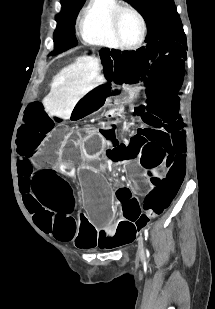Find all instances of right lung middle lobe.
Segmentation results:
<instances>
[{
    "label": "right lung middle lobe",
    "instance_id": "right-lung-middle-lobe-1",
    "mask_svg": "<svg viewBox=\"0 0 215 309\" xmlns=\"http://www.w3.org/2000/svg\"><path fill=\"white\" fill-rule=\"evenodd\" d=\"M85 0H61L62 10L57 16L58 26L54 33V51L50 55L59 54L77 46L75 38L76 17Z\"/></svg>",
    "mask_w": 215,
    "mask_h": 309
}]
</instances>
